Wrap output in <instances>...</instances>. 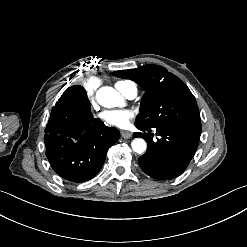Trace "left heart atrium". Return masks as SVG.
Listing matches in <instances>:
<instances>
[{"label": "left heart atrium", "instance_id": "left-heart-atrium-1", "mask_svg": "<svg viewBox=\"0 0 247 247\" xmlns=\"http://www.w3.org/2000/svg\"><path fill=\"white\" fill-rule=\"evenodd\" d=\"M134 115L135 113L129 109H110L104 111L101 118L107 125L124 128L134 118Z\"/></svg>", "mask_w": 247, "mask_h": 247}]
</instances>
